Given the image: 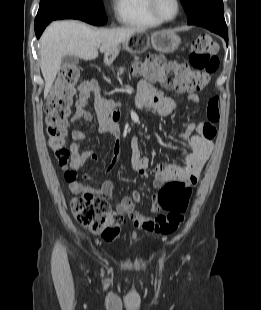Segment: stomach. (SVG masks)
Instances as JSON below:
<instances>
[{
	"mask_svg": "<svg viewBox=\"0 0 261 310\" xmlns=\"http://www.w3.org/2000/svg\"><path fill=\"white\" fill-rule=\"evenodd\" d=\"M180 43V37L173 30L158 31L152 33L151 37L144 32H137L123 42V48L130 53L137 54L144 52L151 45L159 52L170 53L176 50ZM118 52L119 47L109 54L110 60H113L118 55Z\"/></svg>",
	"mask_w": 261,
	"mask_h": 310,
	"instance_id": "0dacf381",
	"label": "stomach"
}]
</instances>
